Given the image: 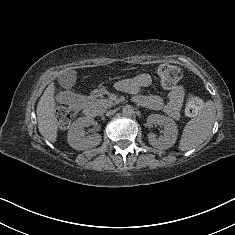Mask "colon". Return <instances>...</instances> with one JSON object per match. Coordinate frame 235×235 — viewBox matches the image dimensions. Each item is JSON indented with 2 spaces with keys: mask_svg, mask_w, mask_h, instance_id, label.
<instances>
[{
  "mask_svg": "<svg viewBox=\"0 0 235 235\" xmlns=\"http://www.w3.org/2000/svg\"><path fill=\"white\" fill-rule=\"evenodd\" d=\"M180 71L175 66L165 65L159 70L160 84L164 88H171L180 79ZM202 107V101L195 95H189L186 99L185 114L188 117H195ZM57 123L60 127L66 128L71 122V113L65 107H57L55 111Z\"/></svg>",
  "mask_w": 235,
  "mask_h": 235,
  "instance_id": "1",
  "label": "colon"
}]
</instances>
